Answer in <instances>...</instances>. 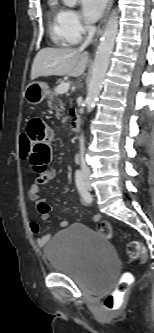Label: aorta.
Here are the masks:
<instances>
[{
  "label": "aorta",
  "mask_w": 154,
  "mask_h": 333,
  "mask_svg": "<svg viewBox=\"0 0 154 333\" xmlns=\"http://www.w3.org/2000/svg\"><path fill=\"white\" fill-rule=\"evenodd\" d=\"M77 1L78 0H63V3L69 7H74ZM117 32L118 11L113 10L106 23L104 33L95 54L86 97L87 112H91L93 110L101 92L103 81L110 62V56L114 48Z\"/></svg>",
  "instance_id": "aorta-1"
}]
</instances>
